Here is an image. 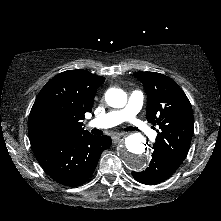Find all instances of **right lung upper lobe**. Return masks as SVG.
<instances>
[{
	"label": "right lung upper lobe",
	"instance_id": "right-lung-upper-lobe-1",
	"mask_svg": "<svg viewBox=\"0 0 221 221\" xmlns=\"http://www.w3.org/2000/svg\"><path fill=\"white\" fill-rule=\"evenodd\" d=\"M105 81L86 70L57 74L39 92L28 121L30 143L90 134L82 128L97 88Z\"/></svg>",
	"mask_w": 221,
	"mask_h": 221
}]
</instances>
